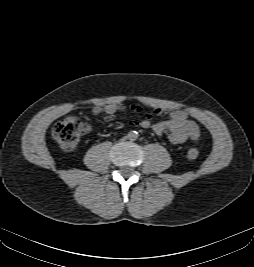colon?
I'll return each instance as SVG.
<instances>
[{"mask_svg":"<svg viewBox=\"0 0 254 267\" xmlns=\"http://www.w3.org/2000/svg\"><path fill=\"white\" fill-rule=\"evenodd\" d=\"M85 128L86 125L77 118L68 117L54 124L52 137L64 151L70 152L77 147ZM198 156L199 151L196 148H190L187 152L190 160H195Z\"/></svg>","mask_w":254,"mask_h":267,"instance_id":"obj_1","label":"colon"}]
</instances>
